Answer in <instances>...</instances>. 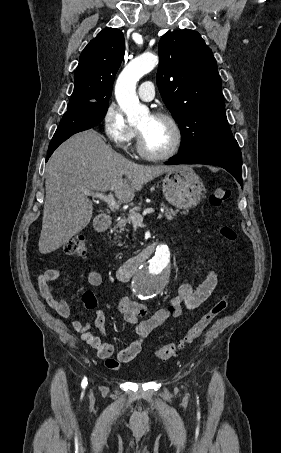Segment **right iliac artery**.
Listing matches in <instances>:
<instances>
[{
    "label": "right iliac artery",
    "instance_id": "obj_1",
    "mask_svg": "<svg viewBox=\"0 0 281 453\" xmlns=\"http://www.w3.org/2000/svg\"><path fill=\"white\" fill-rule=\"evenodd\" d=\"M87 384H88L87 378L85 377V378L83 379L82 383H81L82 388L85 389V387L87 386Z\"/></svg>",
    "mask_w": 281,
    "mask_h": 453
}]
</instances>
